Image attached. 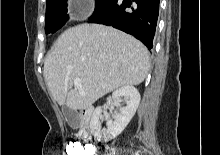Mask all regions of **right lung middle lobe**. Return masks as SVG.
<instances>
[{"label":"right lung middle lobe","instance_id":"obj_1","mask_svg":"<svg viewBox=\"0 0 220 155\" xmlns=\"http://www.w3.org/2000/svg\"><path fill=\"white\" fill-rule=\"evenodd\" d=\"M113 0H96L93 15L108 7ZM92 15V16H93ZM67 0H53L46 4L45 32L54 33L59 30L67 21Z\"/></svg>","mask_w":220,"mask_h":155}]
</instances>
